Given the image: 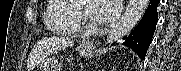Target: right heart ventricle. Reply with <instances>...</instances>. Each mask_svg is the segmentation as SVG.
Segmentation results:
<instances>
[{
	"label": "right heart ventricle",
	"mask_w": 181,
	"mask_h": 71,
	"mask_svg": "<svg viewBox=\"0 0 181 71\" xmlns=\"http://www.w3.org/2000/svg\"><path fill=\"white\" fill-rule=\"evenodd\" d=\"M44 22L46 27L64 36H75L79 32V20L76 7L70 1H45Z\"/></svg>",
	"instance_id": "right-heart-ventricle-1"
}]
</instances>
